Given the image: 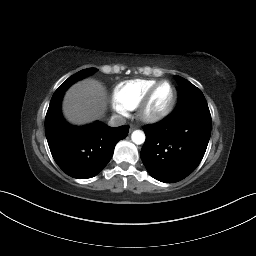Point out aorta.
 <instances>
[{"label":"aorta","mask_w":256,"mask_h":256,"mask_svg":"<svg viewBox=\"0 0 256 256\" xmlns=\"http://www.w3.org/2000/svg\"><path fill=\"white\" fill-rule=\"evenodd\" d=\"M132 141L137 144H143L145 142V134L141 130H135L131 134Z\"/></svg>","instance_id":"1"}]
</instances>
